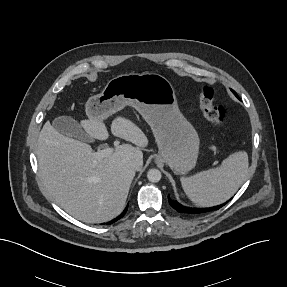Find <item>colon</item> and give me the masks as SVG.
Wrapping results in <instances>:
<instances>
[{
    "label": "colon",
    "mask_w": 287,
    "mask_h": 287,
    "mask_svg": "<svg viewBox=\"0 0 287 287\" xmlns=\"http://www.w3.org/2000/svg\"><path fill=\"white\" fill-rule=\"evenodd\" d=\"M199 103L204 117L215 127H221L225 121L226 109L214 104L213 91L203 86L198 91Z\"/></svg>",
    "instance_id": "5ec220e1"
}]
</instances>
